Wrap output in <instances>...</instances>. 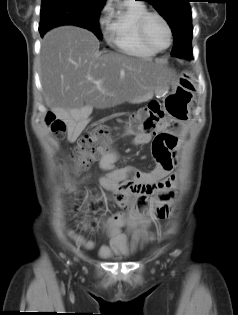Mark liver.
<instances>
[{
  "label": "liver",
  "instance_id": "1",
  "mask_svg": "<svg viewBox=\"0 0 238 315\" xmlns=\"http://www.w3.org/2000/svg\"><path fill=\"white\" fill-rule=\"evenodd\" d=\"M99 47L91 32L75 26L45 34L40 78L46 105L59 118L79 119L84 104L89 110L114 107L169 81L168 70L158 62L102 52Z\"/></svg>",
  "mask_w": 238,
  "mask_h": 315
}]
</instances>
